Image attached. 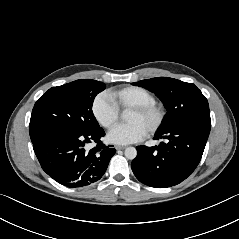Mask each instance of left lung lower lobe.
<instances>
[{
  "label": "left lung lower lobe",
  "mask_w": 239,
  "mask_h": 239,
  "mask_svg": "<svg viewBox=\"0 0 239 239\" xmlns=\"http://www.w3.org/2000/svg\"><path fill=\"white\" fill-rule=\"evenodd\" d=\"M210 124L184 123L157 130L154 139H167L155 147L137 146L131 168L136 178L151 187L166 188L186 179L199 164Z\"/></svg>",
  "instance_id": "1"
}]
</instances>
